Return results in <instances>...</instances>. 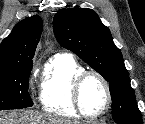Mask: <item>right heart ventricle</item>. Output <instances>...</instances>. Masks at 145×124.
<instances>
[{
  "label": "right heart ventricle",
  "instance_id": "obj_1",
  "mask_svg": "<svg viewBox=\"0 0 145 124\" xmlns=\"http://www.w3.org/2000/svg\"><path fill=\"white\" fill-rule=\"evenodd\" d=\"M84 70L71 56L53 57L40 84L39 101L42 108L58 117L78 118L80 115L72 99V84L75 77Z\"/></svg>",
  "mask_w": 145,
  "mask_h": 124
}]
</instances>
